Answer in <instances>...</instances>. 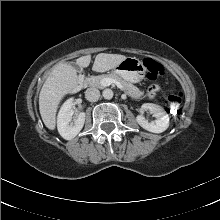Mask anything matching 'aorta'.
<instances>
[{
    "mask_svg": "<svg viewBox=\"0 0 220 220\" xmlns=\"http://www.w3.org/2000/svg\"><path fill=\"white\" fill-rule=\"evenodd\" d=\"M102 95L105 99L110 100L113 98L114 93L111 89H105Z\"/></svg>",
    "mask_w": 220,
    "mask_h": 220,
    "instance_id": "1",
    "label": "aorta"
}]
</instances>
